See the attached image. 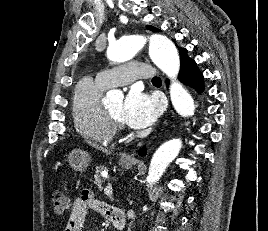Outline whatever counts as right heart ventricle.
I'll use <instances>...</instances> for the list:
<instances>
[{
    "mask_svg": "<svg viewBox=\"0 0 268 231\" xmlns=\"http://www.w3.org/2000/svg\"><path fill=\"white\" fill-rule=\"evenodd\" d=\"M107 88L98 79L84 78L77 84L71 104L76 131L99 144H109L115 135V129L101 104Z\"/></svg>",
    "mask_w": 268,
    "mask_h": 231,
    "instance_id": "obj_1",
    "label": "right heart ventricle"
}]
</instances>
